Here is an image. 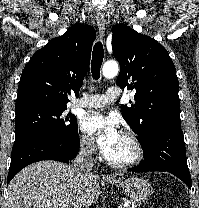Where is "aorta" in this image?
I'll return each mask as SVG.
<instances>
[{"instance_id": "aorta-1", "label": "aorta", "mask_w": 199, "mask_h": 208, "mask_svg": "<svg viewBox=\"0 0 199 208\" xmlns=\"http://www.w3.org/2000/svg\"><path fill=\"white\" fill-rule=\"evenodd\" d=\"M119 66L115 61H108L103 65L102 74L105 78H113L118 74Z\"/></svg>"}]
</instances>
